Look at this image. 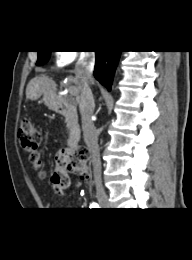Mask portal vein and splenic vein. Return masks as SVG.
<instances>
[{"mask_svg":"<svg viewBox=\"0 0 192 260\" xmlns=\"http://www.w3.org/2000/svg\"><path fill=\"white\" fill-rule=\"evenodd\" d=\"M69 93H70L71 95H76V94H77V91H76V89L71 88V89H69Z\"/></svg>","mask_w":192,"mask_h":260,"instance_id":"portal-vein-and-splenic-vein-1","label":"portal vein and splenic vein"}]
</instances>
